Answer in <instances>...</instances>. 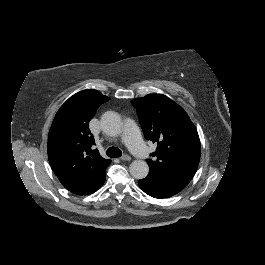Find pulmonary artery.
<instances>
[{
	"instance_id": "e3ab8cb5",
	"label": "pulmonary artery",
	"mask_w": 265,
	"mask_h": 265,
	"mask_svg": "<svg viewBox=\"0 0 265 265\" xmlns=\"http://www.w3.org/2000/svg\"><path fill=\"white\" fill-rule=\"evenodd\" d=\"M125 127V131L119 133V141L121 143H128L129 150L136 154L141 162H148L150 160V152L140 138L136 120L134 118H127L125 120ZM116 139L117 135H113L112 140Z\"/></svg>"
}]
</instances>
